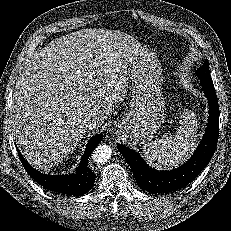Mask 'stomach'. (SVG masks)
Here are the masks:
<instances>
[{
    "mask_svg": "<svg viewBox=\"0 0 231 231\" xmlns=\"http://www.w3.org/2000/svg\"><path fill=\"white\" fill-rule=\"evenodd\" d=\"M130 109L117 125L133 146L148 144L165 118L163 74L155 53L142 51L129 60Z\"/></svg>",
    "mask_w": 231,
    "mask_h": 231,
    "instance_id": "stomach-1",
    "label": "stomach"
}]
</instances>
